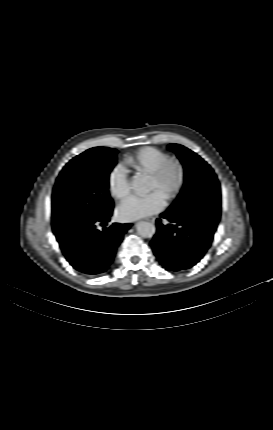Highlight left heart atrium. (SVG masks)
I'll return each instance as SVG.
<instances>
[{
  "label": "left heart atrium",
  "mask_w": 273,
  "mask_h": 430,
  "mask_svg": "<svg viewBox=\"0 0 273 430\" xmlns=\"http://www.w3.org/2000/svg\"><path fill=\"white\" fill-rule=\"evenodd\" d=\"M166 203L165 195L159 190L143 195L131 196L124 200L117 209L121 220L133 221L160 212Z\"/></svg>",
  "instance_id": "1"
}]
</instances>
